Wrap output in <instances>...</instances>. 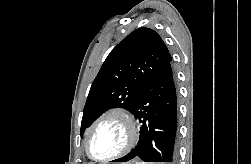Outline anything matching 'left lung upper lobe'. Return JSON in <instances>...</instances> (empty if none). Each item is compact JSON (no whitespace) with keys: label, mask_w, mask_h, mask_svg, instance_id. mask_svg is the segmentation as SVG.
Wrapping results in <instances>:
<instances>
[{"label":"left lung upper lobe","mask_w":251,"mask_h":164,"mask_svg":"<svg viewBox=\"0 0 251 164\" xmlns=\"http://www.w3.org/2000/svg\"><path fill=\"white\" fill-rule=\"evenodd\" d=\"M171 60L156 31L138 28L130 33L110 52L92 83L81 134L109 108L121 107L132 113L143 88Z\"/></svg>","instance_id":"1"}]
</instances>
